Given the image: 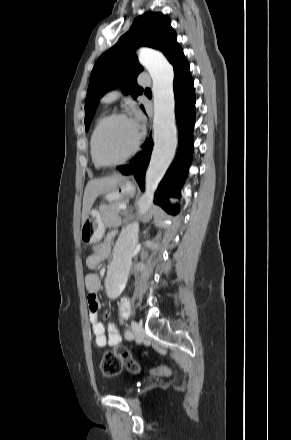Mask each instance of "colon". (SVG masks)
<instances>
[{
	"label": "colon",
	"instance_id": "5ec220e1",
	"mask_svg": "<svg viewBox=\"0 0 291 440\" xmlns=\"http://www.w3.org/2000/svg\"><path fill=\"white\" fill-rule=\"evenodd\" d=\"M123 365L132 373H137L139 371V364L132 358L128 349L122 345H118L103 355L100 363V370L104 376H115L120 373ZM163 372H171V367H164Z\"/></svg>",
	"mask_w": 291,
	"mask_h": 440
}]
</instances>
